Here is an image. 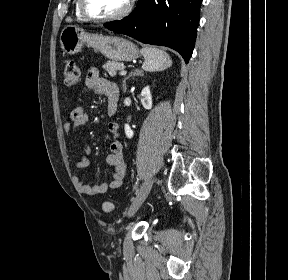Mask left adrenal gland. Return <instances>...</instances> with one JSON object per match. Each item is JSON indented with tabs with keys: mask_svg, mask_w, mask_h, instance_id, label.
<instances>
[{
	"mask_svg": "<svg viewBox=\"0 0 288 280\" xmlns=\"http://www.w3.org/2000/svg\"><path fill=\"white\" fill-rule=\"evenodd\" d=\"M144 73H143V70L141 69H135L133 72L129 73V75L127 77L124 78L123 80V92L125 93L126 92V81L130 78V77H135V76H143Z\"/></svg>",
	"mask_w": 288,
	"mask_h": 280,
	"instance_id": "left-adrenal-gland-1",
	"label": "left adrenal gland"
}]
</instances>
